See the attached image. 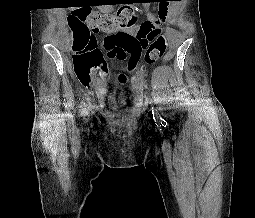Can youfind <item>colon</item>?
Returning a JSON list of instances; mask_svg holds the SVG:
<instances>
[{
  "label": "colon",
  "mask_w": 255,
  "mask_h": 218,
  "mask_svg": "<svg viewBox=\"0 0 255 218\" xmlns=\"http://www.w3.org/2000/svg\"><path fill=\"white\" fill-rule=\"evenodd\" d=\"M139 15L131 5H125L111 13H101L88 8L76 9L71 13L70 24L74 32L73 65L74 72L86 87L92 88L108 75L105 58L97 46L94 32H117L106 40L105 49L109 58L127 59L128 71H133L143 58L151 63L160 58L166 43L160 35L158 25L147 20L138 26L134 34L125 30L137 25ZM119 81L126 80L124 74L118 76Z\"/></svg>",
  "instance_id": "colon-1"
}]
</instances>
